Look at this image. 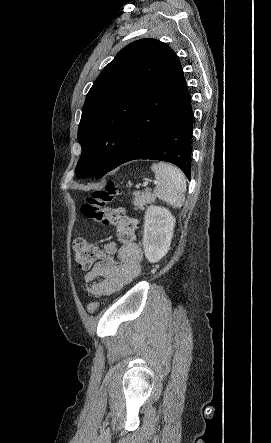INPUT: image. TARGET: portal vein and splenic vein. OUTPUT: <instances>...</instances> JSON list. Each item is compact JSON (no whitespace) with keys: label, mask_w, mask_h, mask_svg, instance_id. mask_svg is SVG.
<instances>
[{"label":"portal vein and splenic vein","mask_w":271,"mask_h":443,"mask_svg":"<svg viewBox=\"0 0 271 443\" xmlns=\"http://www.w3.org/2000/svg\"><path fill=\"white\" fill-rule=\"evenodd\" d=\"M149 182H144V186H148ZM154 184H157V182H154Z\"/></svg>","instance_id":"1"}]
</instances>
